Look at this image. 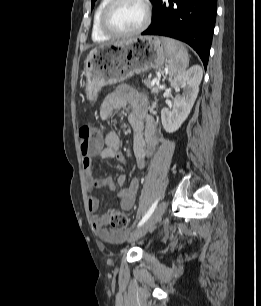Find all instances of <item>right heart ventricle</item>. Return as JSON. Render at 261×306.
<instances>
[{"mask_svg":"<svg viewBox=\"0 0 261 306\" xmlns=\"http://www.w3.org/2000/svg\"><path fill=\"white\" fill-rule=\"evenodd\" d=\"M108 1L109 0H100L93 14L91 34H92V39L95 42L106 41L111 37L106 33H104L100 26L101 13L105 5L108 3Z\"/></svg>","mask_w":261,"mask_h":306,"instance_id":"e07e8e85","label":"right heart ventricle"}]
</instances>
